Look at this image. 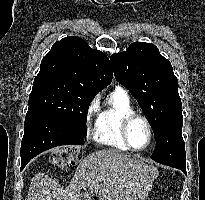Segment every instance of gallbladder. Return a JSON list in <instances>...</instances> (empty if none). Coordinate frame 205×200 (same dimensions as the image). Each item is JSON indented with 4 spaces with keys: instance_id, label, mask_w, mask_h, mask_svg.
Returning a JSON list of instances; mask_svg holds the SVG:
<instances>
[{
    "instance_id": "gallbladder-1",
    "label": "gallbladder",
    "mask_w": 205,
    "mask_h": 200,
    "mask_svg": "<svg viewBox=\"0 0 205 200\" xmlns=\"http://www.w3.org/2000/svg\"><path fill=\"white\" fill-rule=\"evenodd\" d=\"M80 200H85V199L83 197H81Z\"/></svg>"
}]
</instances>
